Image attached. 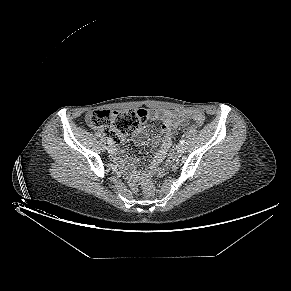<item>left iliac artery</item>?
<instances>
[{
  "instance_id": "1",
  "label": "left iliac artery",
  "mask_w": 291,
  "mask_h": 291,
  "mask_svg": "<svg viewBox=\"0 0 291 291\" xmlns=\"http://www.w3.org/2000/svg\"><path fill=\"white\" fill-rule=\"evenodd\" d=\"M185 143V140L184 139H181L180 140V144H184Z\"/></svg>"
}]
</instances>
